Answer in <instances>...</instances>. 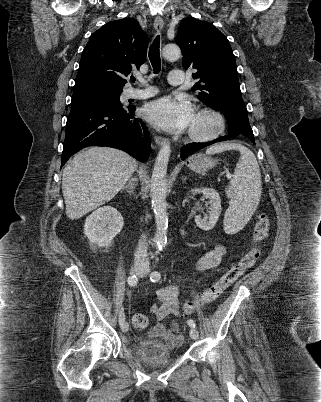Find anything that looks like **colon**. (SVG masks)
Here are the masks:
<instances>
[{"label":"colon","mask_w":321,"mask_h":402,"mask_svg":"<svg viewBox=\"0 0 321 402\" xmlns=\"http://www.w3.org/2000/svg\"><path fill=\"white\" fill-rule=\"evenodd\" d=\"M270 229L267 214H259L253 231L250 246L244 255L233 264L216 282L206 288L196 300L187 301L182 307V316H188L197 308L214 302L231 284L243 276L257 261L260 255V243L266 238ZM132 322L137 329H145L147 317L142 313L133 315Z\"/></svg>","instance_id":"obj_1"}]
</instances>
